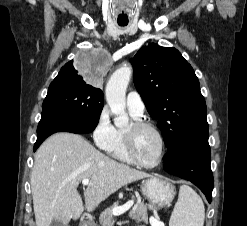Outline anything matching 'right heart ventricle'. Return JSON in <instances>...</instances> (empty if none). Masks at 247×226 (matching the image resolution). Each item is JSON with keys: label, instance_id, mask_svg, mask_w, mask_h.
Listing matches in <instances>:
<instances>
[{"label": "right heart ventricle", "instance_id": "obj_1", "mask_svg": "<svg viewBox=\"0 0 247 226\" xmlns=\"http://www.w3.org/2000/svg\"><path fill=\"white\" fill-rule=\"evenodd\" d=\"M129 112H130V115L134 119L139 118V116L135 115L131 111ZM106 151L111 157L119 161L126 162V163H133L127 155L125 144H124V131L121 129H115L114 141L111 144V146L108 149H106Z\"/></svg>", "mask_w": 247, "mask_h": 226}]
</instances>
